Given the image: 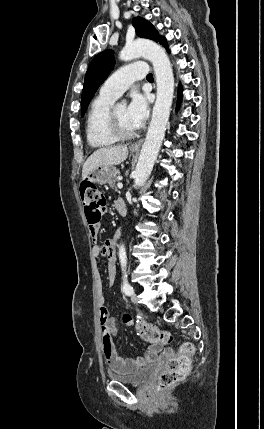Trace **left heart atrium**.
Wrapping results in <instances>:
<instances>
[{"label": "left heart atrium", "mask_w": 264, "mask_h": 429, "mask_svg": "<svg viewBox=\"0 0 264 429\" xmlns=\"http://www.w3.org/2000/svg\"><path fill=\"white\" fill-rule=\"evenodd\" d=\"M148 115V98L141 93H133L131 101L127 107V116L129 121L137 129L146 121Z\"/></svg>", "instance_id": "left-heart-atrium-1"}]
</instances>
